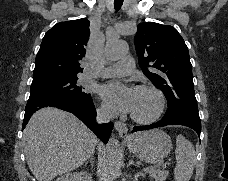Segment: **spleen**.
Instances as JSON below:
<instances>
[{
    "instance_id": "spleen-1",
    "label": "spleen",
    "mask_w": 228,
    "mask_h": 181,
    "mask_svg": "<svg viewBox=\"0 0 228 181\" xmlns=\"http://www.w3.org/2000/svg\"><path fill=\"white\" fill-rule=\"evenodd\" d=\"M175 157L177 161L174 171L175 181H190L195 167V149L183 135L176 137Z\"/></svg>"
}]
</instances>
